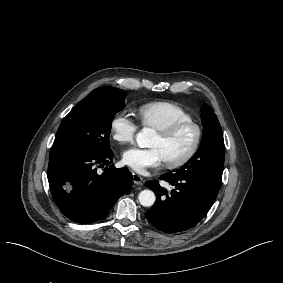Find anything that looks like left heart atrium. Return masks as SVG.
<instances>
[{
    "instance_id": "1",
    "label": "left heart atrium",
    "mask_w": 283,
    "mask_h": 283,
    "mask_svg": "<svg viewBox=\"0 0 283 283\" xmlns=\"http://www.w3.org/2000/svg\"><path fill=\"white\" fill-rule=\"evenodd\" d=\"M123 161L138 172L159 167L164 158L159 148H129L123 153Z\"/></svg>"
}]
</instances>
